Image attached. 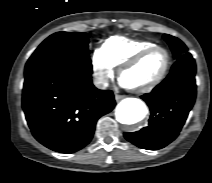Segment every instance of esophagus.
I'll return each mask as SVG.
<instances>
[{"instance_id": "34e87169", "label": "esophagus", "mask_w": 212, "mask_h": 183, "mask_svg": "<svg viewBox=\"0 0 212 183\" xmlns=\"http://www.w3.org/2000/svg\"><path fill=\"white\" fill-rule=\"evenodd\" d=\"M123 98V96L122 95H119V94H115V100L116 101H119V100H121Z\"/></svg>"}]
</instances>
